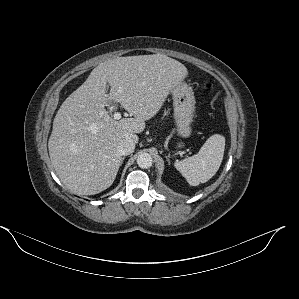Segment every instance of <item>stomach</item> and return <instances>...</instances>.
<instances>
[{
    "label": "stomach",
    "instance_id": "1",
    "mask_svg": "<svg viewBox=\"0 0 299 299\" xmlns=\"http://www.w3.org/2000/svg\"><path fill=\"white\" fill-rule=\"evenodd\" d=\"M174 107L175 131L178 136L187 138L191 135V124L195 114V97L192 88L185 82L179 83L172 91ZM182 142L177 144L178 148L183 147Z\"/></svg>",
    "mask_w": 299,
    "mask_h": 299
}]
</instances>
